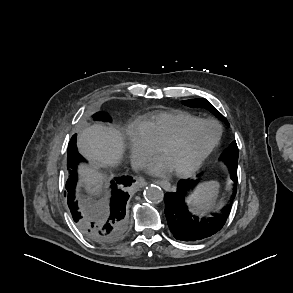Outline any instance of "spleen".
<instances>
[{
	"instance_id": "spleen-1",
	"label": "spleen",
	"mask_w": 293,
	"mask_h": 293,
	"mask_svg": "<svg viewBox=\"0 0 293 293\" xmlns=\"http://www.w3.org/2000/svg\"><path fill=\"white\" fill-rule=\"evenodd\" d=\"M220 184L217 181H206L199 184L188 198V204L197 211L210 210L215 204Z\"/></svg>"
}]
</instances>
